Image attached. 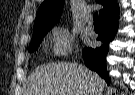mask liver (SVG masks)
Segmentation results:
<instances>
[{"mask_svg": "<svg viewBox=\"0 0 135 95\" xmlns=\"http://www.w3.org/2000/svg\"><path fill=\"white\" fill-rule=\"evenodd\" d=\"M104 80L88 68L73 63H52L35 69L25 95H102Z\"/></svg>", "mask_w": 135, "mask_h": 95, "instance_id": "6515ba94", "label": "liver"}]
</instances>
